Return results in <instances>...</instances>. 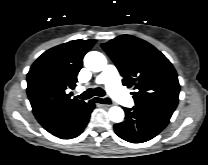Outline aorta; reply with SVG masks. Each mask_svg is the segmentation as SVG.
I'll use <instances>...</instances> for the list:
<instances>
[{
	"label": "aorta",
	"mask_w": 208,
	"mask_h": 165,
	"mask_svg": "<svg viewBox=\"0 0 208 165\" xmlns=\"http://www.w3.org/2000/svg\"><path fill=\"white\" fill-rule=\"evenodd\" d=\"M84 65L94 72L103 71L106 68V57L97 51L88 52L84 57ZM109 118L115 123H120L124 119V111L118 106L109 109Z\"/></svg>",
	"instance_id": "1"
}]
</instances>
